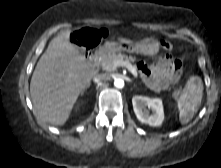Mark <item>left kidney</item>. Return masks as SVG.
<instances>
[{"label":"left kidney","instance_id":"1","mask_svg":"<svg viewBox=\"0 0 221 168\" xmlns=\"http://www.w3.org/2000/svg\"><path fill=\"white\" fill-rule=\"evenodd\" d=\"M133 109L138 120L150 126H160L164 120L162 100L146 96H134L132 98ZM151 109L150 114L147 110Z\"/></svg>","mask_w":221,"mask_h":168}]
</instances>
